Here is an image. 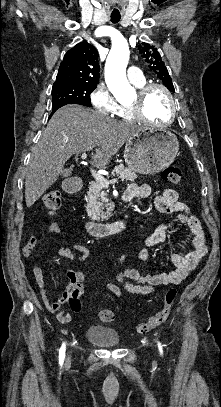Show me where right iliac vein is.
<instances>
[{
    "label": "right iliac vein",
    "mask_w": 221,
    "mask_h": 407,
    "mask_svg": "<svg viewBox=\"0 0 221 407\" xmlns=\"http://www.w3.org/2000/svg\"><path fill=\"white\" fill-rule=\"evenodd\" d=\"M66 362H67V364H69L71 362V356L70 355H68Z\"/></svg>",
    "instance_id": "right-iliac-vein-1"
}]
</instances>
